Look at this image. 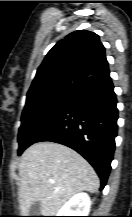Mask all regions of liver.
I'll return each mask as SVG.
<instances>
[{"mask_svg":"<svg viewBox=\"0 0 132 217\" xmlns=\"http://www.w3.org/2000/svg\"><path fill=\"white\" fill-rule=\"evenodd\" d=\"M19 174L22 216L30 214L34 202L40 203L43 216H55L74 195L82 191L95 193L100 186L95 170L81 155L54 142L27 148L20 158Z\"/></svg>","mask_w":132,"mask_h":217,"instance_id":"obj_1","label":"liver"}]
</instances>
